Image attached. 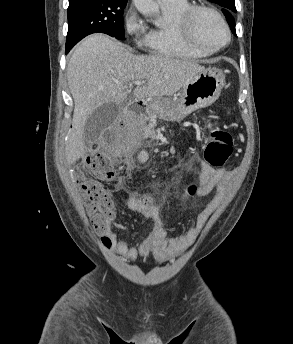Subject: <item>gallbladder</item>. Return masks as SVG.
<instances>
[{"mask_svg": "<svg viewBox=\"0 0 293 344\" xmlns=\"http://www.w3.org/2000/svg\"><path fill=\"white\" fill-rule=\"evenodd\" d=\"M120 111V106L108 102L98 107L87 119L84 127L86 142L97 141L101 133L113 124Z\"/></svg>", "mask_w": 293, "mask_h": 344, "instance_id": "gallbladder-1", "label": "gallbladder"}]
</instances>
